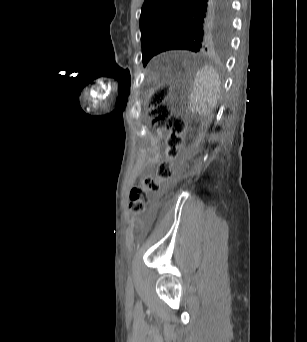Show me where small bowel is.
<instances>
[{
    "label": "small bowel",
    "instance_id": "obj_1",
    "mask_svg": "<svg viewBox=\"0 0 307 342\" xmlns=\"http://www.w3.org/2000/svg\"><path fill=\"white\" fill-rule=\"evenodd\" d=\"M157 135H158L157 140H160L161 137H162V132L160 130H157ZM159 159H160L159 154H157V153L154 154V156H153V164L156 163Z\"/></svg>",
    "mask_w": 307,
    "mask_h": 342
}]
</instances>
